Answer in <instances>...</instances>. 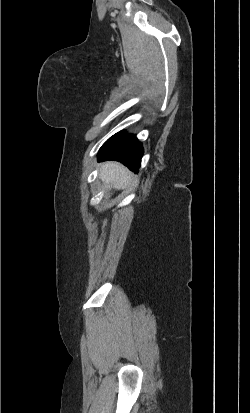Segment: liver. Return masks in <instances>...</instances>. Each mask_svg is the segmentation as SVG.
I'll list each match as a JSON object with an SVG mask.
<instances>
[{
	"label": "liver",
	"mask_w": 250,
	"mask_h": 413,
	"mask_svg": "<svg viewBox=\"0 0 250 413\" xmlns=\"http://www.w3.org/2000/svg\"><path fill=\"white\" fill-rule=\"evenodd\" d=\"M100 178L109 185L121 189L131 178L130 172L117 162H105L101 165Z\"/></svg>",
	"instance_id": "6515ba94"
}]
</instances>
